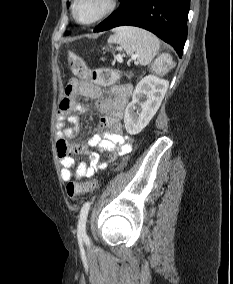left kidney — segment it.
<instances>
[{"mask_svg":"<svg viewBox=\"0 0 233 284\" xmlns=\"http://www.w3.org/2000/svg\"><path fill=\"white\" fill-rule=\"evenodd\" d=\"M169 82L155 75H148L137 84L124 114L127 133H140L159 109ZM136 110V112H135Z\"/></svg>","mask_w":233,"mask_h":284,"instance_id":"left-kidney-1","label":"left kidney"}]
</instances>
